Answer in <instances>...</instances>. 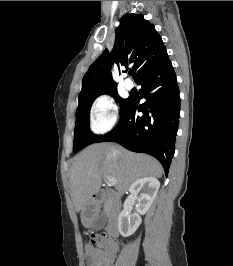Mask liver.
<instances>
[{
    "mask_svg": "<svg viewBox=\"0 0 233 266\" xmlns=\"http://www.w3.org/2000/svg\"><path fill=\"white\" fill-rule=\"evenodd\" d=\"M161 164L148 155L130 152L113 143L93 144L79 153L70 169V195L77 212L100 190L102 179L116 180L110 194L120 198L135 181L144 177H162ZM95 217H82L85 227H91Z\"/></svg>",
    "mask_w": 233,
    "mask_h": 266,
    "instance_id": "liver-1",
    "label": "liver"
}]
</instances>
